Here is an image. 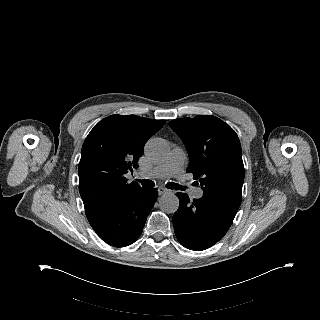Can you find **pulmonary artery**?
Instances as JSON below:
<instances>
[{
  "label": "pulmonary artery",
  "instance_id": "pulmonary-artery-1",
  "mask_svg": "<svg viewBox=\"0 0 320 320\" xmlns=\"http://www.w3.org/2000/svg\"><path fill=\"white\" fill-rule=\"evenodd\" d=\"M186 163V154L179 148L175 147L168 158L162 164L154 167L152 170L146 173H142L141 177L152 179H165L171 176L181 178ZM192 195L196 199H200L203 196V190L200 188H194Z\"/></svg>",
  "mask_w": 320,
  "mask_h": 320
}]
</instances>
